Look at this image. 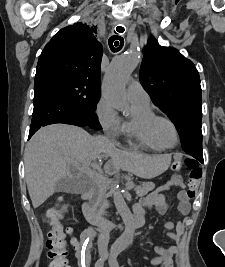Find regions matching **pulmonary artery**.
<instances>
[{"label":"pulmonary artery","mask_w":225,"mask_h":267,"mask_svg":"<svg viewBox=\"0 0 225 267\" xmlns=\"http://www.w3.org/2000/svg\"><path fill=\"white\" fill-rule=\"evenodd\" d=\"M127 94L130 100H149V95L142 87L139 81L132 80L127 88Z\"/></svg>","instance_id":"obj_1"}]
</instances>
